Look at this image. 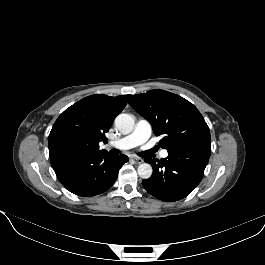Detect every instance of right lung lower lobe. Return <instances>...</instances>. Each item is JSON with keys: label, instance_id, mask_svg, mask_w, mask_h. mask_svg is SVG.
<instances>
[{"label": "right lung lower lobe", "instance_id": "obj_1", "mask_svg": "<svg viewBox=\"0 0 265 265\" xmlns=\"http://www.w3.org/2000/svg\"><path fill=\"white\" fill-rule=\"evenodd\" d=\"M127 161L126 155L111 156L104 151L54 158L51 165L67 190L79 196H94L113 185Z\"/></svg>", "mask_w": 265, "mask_h": 265}]
</instances>
